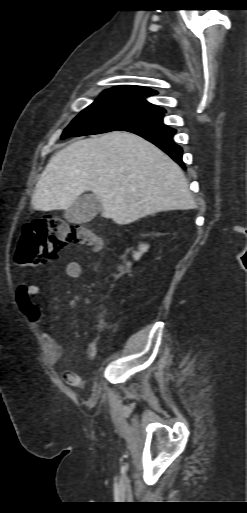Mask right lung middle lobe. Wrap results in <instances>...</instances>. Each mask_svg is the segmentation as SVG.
Returning a JSON list of instances; mask_svg holds the SVG:
<instances>
[{"mask_svg": "<svg viewBox=\"0 0 247 513\" xmlns=\"http://www.w3.org/2000/svg\"><path fill=\"white\" fill-rule=\"evenodd\" d=\"M163 108L133 94L105 90L102 97L84 109L64 130L61 139L121 130L127 125L163 116Z\"/></svg>", "mask_w": 247, "mask_h": 513, "instance_id": "right-lung-middle-lobe-1", "label": "right lung middle lobe"}]
</instances>
